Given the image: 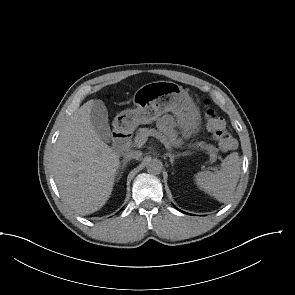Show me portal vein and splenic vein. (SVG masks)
<instances>
[{"label":"portal vein and splenic vein","instance_id":"obj_1","mask_svg":"<svg viewBox=\"0 0 295 295\" xmlns=\"http://www.w3.org/2000/svg\"><path fill=\"white\" fill-rule=\"evenodd\" d=\"M150 136H153L155 138H157L158 140H160V142L165 146V148L167 150H171V147L169 145V143L165 140V138L161 135H159L157 132H151L150 133ZM147 141V137L146 136H143L139 139L137 145L139 147H141L142 145H144V143Z\"/></svg>","mask_w":295,"mask_h":295}]
</instances>
